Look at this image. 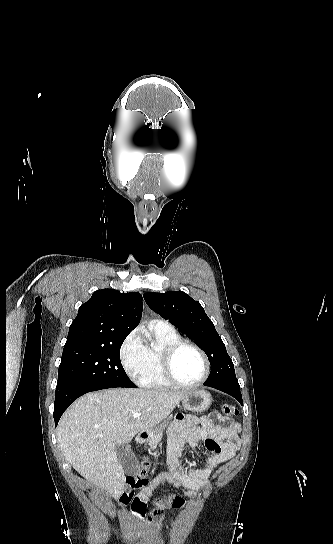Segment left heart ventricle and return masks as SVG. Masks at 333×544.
Here are the masks:
<instances>
[{"label":"left heart ventricle","mask_w":333,"mask_h":544,"mask_svg":"<svg viewBox=\"0 0 333 544\" xmlns=\"http://www.w3.org/2000/svg\"><path fill=\"white\" fill-rule=\"evenodd\" d=\"M174 370L180 381L194 383L202 378L205 366L201 356L196 351L185 348L176 356Z\"/></svg>","instance_id":"b2bd125f"}]
</instances>
